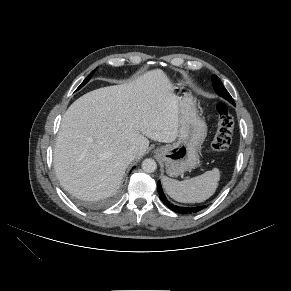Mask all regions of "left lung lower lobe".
<instances>
[{"label":"left lung lower lobe","instance_id":"obj_1","mask_svg":"<svg viewBox=\"0 0 291 291\" xmlns=\"http://www.w3.org/2000/svg\"><path fill=\"white\" fill-rule=\"evenodd\" d=\"M157 189H158V194L160 199L162 200V202L171 210L177 212V213H181V214H192L195 212H198L200 210H202L203 208H205L206 206H197V207H179V206H175L173 204H171L165 197L162 187H161V183L160 181L157 183Z\"/></svg>","mask_w":291,"mask_h":291}]
</instances>
